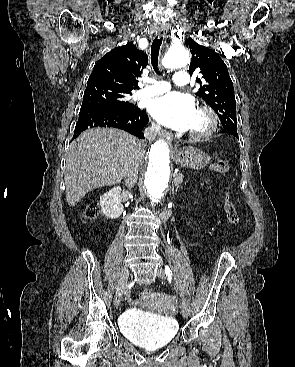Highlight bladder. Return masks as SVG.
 <instances>
[{
    "instance_id": "obj_1",
    "label": "bladder",
    "mask_w": 295,
    "mask_h": 367,
    "mask_svg": "<svg viewBox=\"0 0 295 367\" xmlns=\"http://www.w3.org/2000/svg\"><path fill=\"white\" fill-rule=\"evenodd\" d=\"M136 319H138L137 312L130 309L121 320L123 331L133 340L159 347L168 344L177 335L178 325L173 318L169 317L156 323H146L142 328H138Z\"/></svg>"
}]
</instances>
